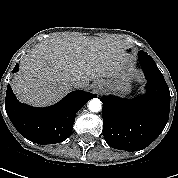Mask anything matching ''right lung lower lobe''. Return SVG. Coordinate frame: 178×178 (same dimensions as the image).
Instances as JSON below:
<instances>
[{"instance_id":"1","label":"right lung lower lobe","mask_w":178,"mask_h":178,"mask_svg":"<svg viewBox=\"0 0 178 178\" xmlns=\"http://www.w3.org/2000/svg\"><path fill=\"white\" fill-rule=\"evenodd\" d=\"M18 69L19 65L16 64L13 73ZM95 97L89 92L77 90L53 106L35 108L21 104L8 85L5 109L12 124L23 137L38 144H55L70 136L77 111Z\"/></svg>"}]
</instances>
